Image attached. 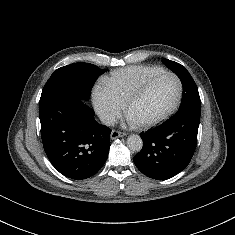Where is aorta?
<instances>
[{"instance_id":"obj_1","label":"aorta","mask_w":235,"mask_h":235,"mask_svg":"<svg viewBox=\"0 0 235 235\" xmlns=\"http://www.w3.org/2000/svg\"><path fill=\"white\" fill-rule=\"evenodd\" d=\"M127 146L131 151L139 152L143 147V140L139 135H130L127 138Z\"/></svg>"}]
</instances>
